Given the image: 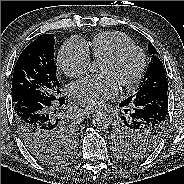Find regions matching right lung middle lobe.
<instances>
[{
	"mask_svg": "<svg viewBox=\"0 0 184 184\" xmlns=\"http://www.w3.org/2000/svg\"><path fill=\"white\" fill-rule=\"evenodd\" d=\"M54 35L44 34L20 54L12 78V101L54 102L59 96L57 67L54 62ZM75 132L69 125L58 130L57 139L42 149H33L34 157L44 163H60L73 150Z\"/></svg>",
	"mask_w": 184,
	"mask_h": 184,
	"instance_id": "1",
	"label": "right lung middle lobe"
}]
</instances>
